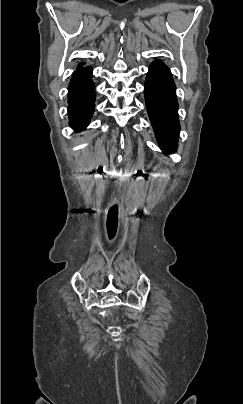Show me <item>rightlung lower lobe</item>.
Instances as JSON below:
<instances>
[{"label":"right lung lower lobe","instance_id":"1","mask_svg":"<svg viewBox=\"0 0 243 404\" xmlns=\"http://www.w3.org/2000/svg\"><path fill=\"white\" fill-rule=\"evenodd\" d=\"M91 67L77 69L68 87L69 124L76 131L86 128L94 112L95 86Z\"/></svg>","mask_w":243,"mask_h":404}]
</instances>
